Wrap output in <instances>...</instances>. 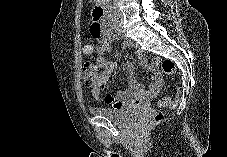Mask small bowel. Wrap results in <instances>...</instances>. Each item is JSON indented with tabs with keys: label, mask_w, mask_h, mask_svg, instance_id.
I'll return each instance as SVG.
<instances>
[{
	"label": "small bowel",
	"mask_w": 227,
	"mask_h": 157,
	"mask_svg": "<svg viewBox=\"0 0 227 157\" xmlns=\"http://www.w3.org/2000/svg\"><path fill=\"white\" fill-rule=\"evenodd\" d=\"M111 50L112 38L109 32L100 34L98 37V45L95 48L89 44L83 47V52L87 55L95 52L97 67L102 70L92 85L91 93L94 100L116 109L139 107L152 100L159 93L161 79L158 72L154 70V67L150 66L143 57L140 58L141 65L146 69L152 70V82L148 91H145L143 86L135 79L133 64L126 62L123 65V69L128 88L126 90H119L114 95H103V90L109 76L115 69L114 63L106 58V55L110 53Z\"/></svg>",
	"instance_id": "obj_1"
}]
</instances>
